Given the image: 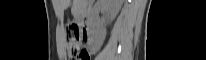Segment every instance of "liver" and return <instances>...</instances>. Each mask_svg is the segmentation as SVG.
<instances>
[{"label":"liver","mask_w":206,"mask_h":60,"mask_svg":"<svg viewBox=\"0 0 206 60\" xmlns=\"http://www.w3.org/2000/svg\"><path fill=\"white\" fill-rule=\"evenodd\" d=\"M61 4L62 9H65L70 5L71 0H58ZM123 0H109L108 3L111 5V12L113 15H116L119 12V9L122 5Z\"/></svg>","instance_id":"6515ba94"}]
</instances>
